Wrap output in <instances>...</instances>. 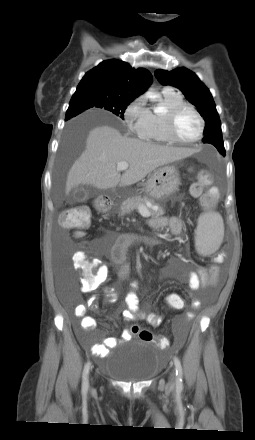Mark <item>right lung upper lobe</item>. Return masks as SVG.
Returning a JSON list of instances; mask_svg holds the SVG:
<instances>
[{
  "instance_id": "obj_1",
  "label": "right lung upper lobe",
  "mask_w": 255,
  "mask_h": 440,
  "mask_svg": "<svg viewBox=\"0 0 255 440\" xmlns=\"http://www.w3.org/2000/svg\"><path fill=\"white\" fill-rule=\"evenodd\" d=\"M151 81L152 76L148 70L134 69L126 62L111 59L87 72L75 93L96 92L133 100L146 91Z\"/></svg>"
}]
</instances>
